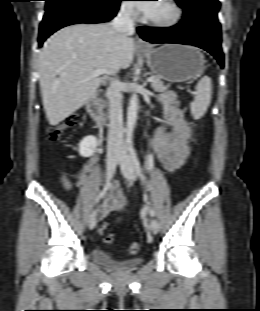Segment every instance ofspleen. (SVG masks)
Listing matches in <instances>:
<instances>
[{"label": "spleen", "mask_w": 260, "mask_h": 311, "mask_svg": "<svg viewBox=\"0 0 260 311\" xmlns=\"http://www.w3.org/2000/svg\"><path fill=\"white\" fill-rule=\"evenodd\" d=\"M212 83L208 76L202 77L196 85V95L190 103L194 119H200L206 113L211 102Z\"/></svg>", "instance_id": "obj_1"}]
</instances>
